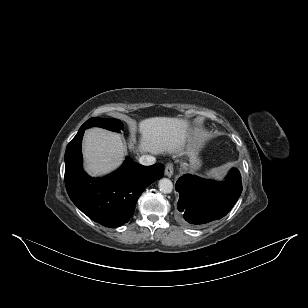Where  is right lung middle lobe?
<instances>
[{
  "label": "right lung middle lobe",
  "instance_id": "right-lung-middle-lobe-1",
  "mask_svg": "<svg viewBox=\"0 0 308 308\" xmlns=\"http://www.w3.org/2000/svg\"><path fill=\"white\" fill-rule=\"evenodd\" d=\"M92 126L102 127V128L115 131L118 133L124 129L123 123L118 119H114V118L101 119V118H96V117L90 118L81 127L86 129Z\"/></svg>",
  "mask_w": 308,
  "mask_h": 308
}]
</instances>
